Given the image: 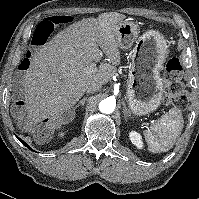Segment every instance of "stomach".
<instances>
[{
	"label": "stomach",
	"mask_w": 199,
	"mask_h": 199,
	"mask_svg": "<svg viewBox=\"0 0 199 199\" xmlns=\"http://www.w3.org/2000/svg\"><path fill=\"white\" fill-rule=\"evenodd\" d=\"M115 38L122 50L131 49L127 82V98L131 112L142 116L155 111L164 97L161 71L167 58V43L163 35L148 30L140 35L137 23L129 20L115 27Z\"/></svg>",
	"instance_id": "stomach-1"
}]
</instances>
